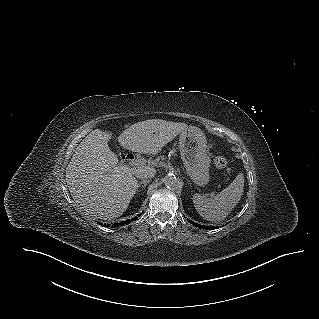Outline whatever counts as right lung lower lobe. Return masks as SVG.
I'll return each mask as SVG.
<instances>
[{
	"label": "right lung lower lobe",
	"instance_id": "98d812e1",
	"mask_svg": "<svg viewBox=\"0 0 319 319\" xmlns=\"http://www.w3.org/2000/svg\"><path fill=\"white\" fill-rule=\"evenodd\" d=\"M140 216V215H139ZM137 219V217H134V218H132V219H129V220H127V221H123V222H120V223H114L112 226L113 227H118V226H122V225H124V224H128V223H130V222H132V221H135ZM108 226V225H107Z\"/></svg>",
	"mask_w": 319,
	"mask_h": 319
}]
</instances>
